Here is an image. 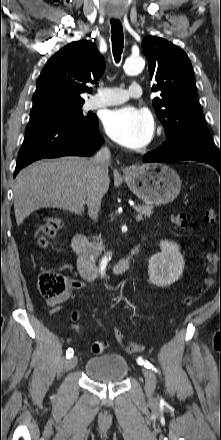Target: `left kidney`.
I'll return each instance as SVG.
<instances>
[{
    "label": "left kidney",
    "mask_w": 221,
    "mask_h": 440,
    "mask_svg": "<svg viewBox=\"0 0 221 440\" xmlns=\"http://www.w3.org/2000/svg\"><path fill=\"white\" fill-rule=\"evenodd\" d=\"M159 246L160 253L149 259L148 274L154 285L166 287L182 276L185 261L176 243L161 240Z\"/></svg>",
    "instance_id": "1"
}]
</instances>
